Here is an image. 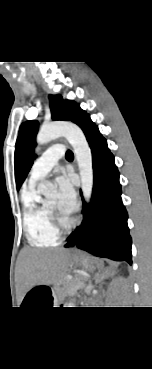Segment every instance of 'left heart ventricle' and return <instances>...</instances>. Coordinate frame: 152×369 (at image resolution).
<instances>
[{"mask_svg": "<svg viewBox=\"0 0 152 369\" xmlns=\"http://www.w3.org/2000/svg\"><path fill=\"white\" fill-rule=\"evenodd\" d=\"M47 205H49L50 207H52L53 209H55L60 215H61V217L63 218V220L64 221H69L70 220V217H68V216H66V215H64L62 212H61V210H60V208H59V200H58V198L57 197H54V198H52L51 200H49L48 202H47Z\"/></svg>", "mask_w": 152, "mask_h": 369, "instance_id": "b2bd125f", "label": "left heart ventricle"}]
</instances>
